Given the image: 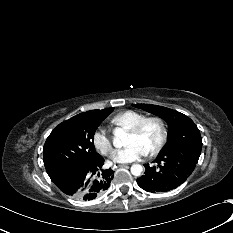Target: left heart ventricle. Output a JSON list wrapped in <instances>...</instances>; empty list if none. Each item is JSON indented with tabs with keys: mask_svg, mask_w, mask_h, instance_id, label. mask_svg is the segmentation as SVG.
Masks as SVG:
<instances>
[{
	"mask_svg": "<svg viewBox=\"0 0 233 233\" xmlns=\"http://www.w3.org/2000/svg\"><path fill=\"white\" fill-rule=\"evenodd\" d=\"M159 135L160 130L158 125L155 122H151L147 124L140 134L129 132L126 139V145L137 143L148 152L157 143Z\"/></svg>",
	"mask_w": 233,
	"mask_h": 233,
	"instance_id": "obj_1",
	"label": "left heart ventricle"
}]
</instances>
